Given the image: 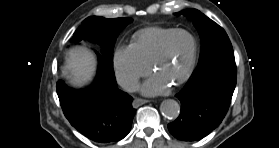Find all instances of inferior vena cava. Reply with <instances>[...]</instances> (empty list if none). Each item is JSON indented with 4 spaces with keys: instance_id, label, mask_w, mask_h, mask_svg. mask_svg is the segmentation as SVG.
<instances>
[{
    "instance_id": "obj_1",
    "label": "inferior vena cava",
    "mask_w": 279,
    "mask_h": 148,
    "mask_svg": "<svg viewBox=\"0 0 279 148\" xmlns=\"http://www.w3.org/2000/svg\"><path fill=\"white\" fill-rule=\"evenodd\" d=\"M118 84L128 92H135L139 89V82L134 77H119Z\"/></svg>"
}]
</instances>
